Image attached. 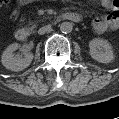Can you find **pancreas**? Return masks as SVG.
Segmentation results:
<instances>
[{
	"label": "pancreas",
	"instance_id": "obj_1",
	"mask_svg": "<svg viewBox=\"0 0 119 119\" xmlns=\"http://www.w3.org/2000/svg\"><path fill=\"white\" fill-rule=\"evenodd\" d=\"M36 27V24L32 25L31 26V30L34 29Z\"/></svg>",
	"mask_w": 119,
	"mask_h": 119
}]
</instances>
